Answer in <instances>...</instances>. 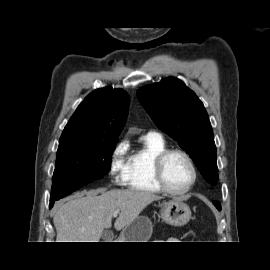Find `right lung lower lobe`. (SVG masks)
<instances>
[{"label": "right lung lower lobe", "instance_id": "98d812e1", "mask_svg": "<svg viewBox=\"0 0 270 270\" xmlns=\"http://www.w3.org/2000/svg\"><path fill=\"white\" fill-rule=\"evenodd\" d=\"M55 201H50V208L53 206Z\"/></svg>", "mask_w": 270, "mask_h": 270}]
</instances>
